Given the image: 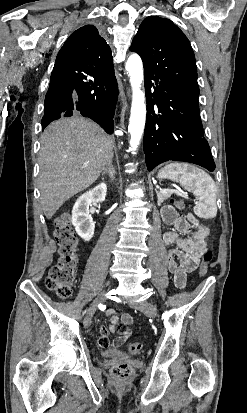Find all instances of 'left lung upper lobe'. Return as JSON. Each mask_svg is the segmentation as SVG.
<instances>
[{"mask_svg": "<svg viewBox=\"0 0 247 413\" xmlns=\"http://www.w3.org/2000/svg\"><path fill=\"white\" fill-rule=\"evenodd\" d=\"M130 50L138 53L144 70L199 96L197 67L189 40L169 19L149 16L141 23Z\"/></svg>", "mask_w": 247, "mask_h": 413, "instance_id": "1", "label": "left lung upper lobe"}]
</instances>
